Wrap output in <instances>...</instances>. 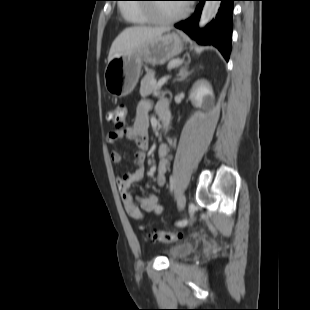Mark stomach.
Here are the masks:
<instances>
[{"label":"stomach","instance_id":"obj_1","mask_svg":"<svg viewBox=\"0 0 310 310\" xmlns=\"http://www.w3.org/2000/svg\"><path fill=\"white\" fill-rule=\"evenodd\" d=\"M183 50V40L177 33H167L154 38L127 56H115L105 68L107 91L115 97L130 94L139 79L143 62L164 64Z\"/></svg>","mask_w":310,"mask_h":310}]
</instances>
